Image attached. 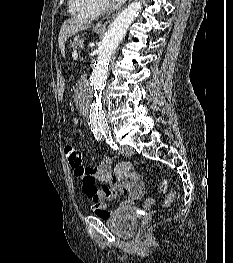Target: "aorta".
Masks as SVG:
<instances>
[{
  "instance_id": "1",
  "label": "aorta",
  "mask_w": 233,
  "mask_h": 263,
  "mask_svg": "<svg viewBox=\"0 0 233 263\" xmlns=\"http://www.w3.org/2000/svg\"><path fill=\"white\" fill-rule=\"evenodd\" d=\"M142 0H136L124 9L110 24L103 46L99 51L91 76L78 91L77 105L80 112L91 126L107 130L104 107V88L108 76V63L121 40L126 35L129 26L139 13Z\"/></svg>"
}]
</instances>
